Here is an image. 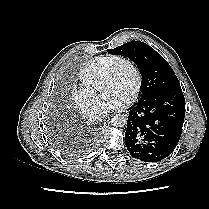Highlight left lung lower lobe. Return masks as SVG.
I'll list each match as a JSON object with an SVG mask.
<instances>
[{
  "label": "left lung lower lobe",
  "mask_w": 209,
  "mask_h": 209,
  "mask_svg": "<svg viewBox=\"0 0 209 209\" xmlns=\"http://www.w3.org/2000/svg\"><path fill=\"white\" fill-rule=\"evenodd\" d=\"M185 117V99L180 86L163 90L136 103L129 112L125 145L143 162H158L175 149Z\"/></svg>",
  "instance_id": "0a47b994"
}]
</instances>
